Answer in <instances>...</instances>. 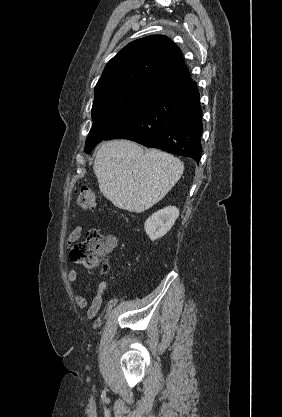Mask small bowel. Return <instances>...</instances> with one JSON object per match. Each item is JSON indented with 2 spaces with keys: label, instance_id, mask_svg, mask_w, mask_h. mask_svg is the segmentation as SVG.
I'll return each mask as SVG.
<instances>
[{
  "label": "small bowel",
  "instance_id": "small-bowel-1",
  "mask_svg": "<svg viewBox=\"0 0 282 417\" xmlns=\"http://www.w3.org/2000/svg\"><path fill=\"white\" fill-rule=\"evenodd\" d=\"M83 230H84V226L82 225L75 227L68 236L67 245H71L72 243L77 241L81 237ZM105 240H106L108 249L111 250L116 247L117 238L115 236L110 235V234L106 235ZM77 278H78V271L76 269H70L67 272V279L69 282H75ZM108 287H109V284L106 280L100 281L97 286L96 295L93 297L90 304L84 296L80 294L75 295L74 299L78 307L80 308L88 307L87 317L89 319H93L99 312L101 305H102V301H103V294L107 291Z\"/></svg>",
  "mask_w": 282,
  "mask_h": 417
}]
</instances>
